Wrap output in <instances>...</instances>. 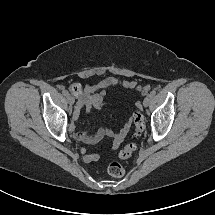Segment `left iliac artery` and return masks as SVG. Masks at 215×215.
<instances>
[{
	"instance_id": "left-iliac-artery-1",
	"label": "left iliac artery",
	"mask_w": 215,
	"mask_h": 215,
	"mask_svg": "<svg viewBox=\"0 0 215 215\" xmlns=\"http://www.w3.org/2000/svg\"><path fill=\"white\" fill-rule=\"evenodd\" d=\"M156 94V91L155 90H152L148 96H150L151 98L154 97Z\"/></svg>"
}]
</instances>
